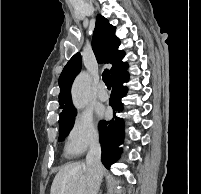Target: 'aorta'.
<instances>
[{
    "instance_id": "762f6f07",
    "label": "aorta",
    "mask_w": 201,
    "mask_h": 194,
    "mask_svg": "<svg viewBox=\"0 0 201 194\" xmlns=\"http://www.w3.org/2000/svg\"><path fill=\"white\" fill-rule=\"evenodd\" d=\"M71 93L73 104L77 109H82L87 105L90 95V77L88 73L82 72L76 77Z\"/></svg>"
}]
</instances>
